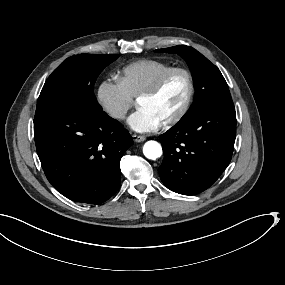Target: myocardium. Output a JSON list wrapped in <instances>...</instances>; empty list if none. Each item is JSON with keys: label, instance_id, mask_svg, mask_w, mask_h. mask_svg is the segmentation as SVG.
I'll return each instance as SVG.
<instances>
[{"label": "myocardium", "instance_id": "myocardium-1", "mask_svg": "<svg viewBox=\"0 0 285 285\" xmlns=\"http://www.w3.org/2000/svg\"><path fill=\"white\" fill-rule=\"evenodd\" d=\"M177 75L182 76L185 80L186 90H185L184 98H183V101L180 107L173 114L167 116L166 118L160 121V124L162 126H168V125H172L178 122L187 113L190 107V103L192 99V92H193V84H192L190 74L183 69H173L167 72L157 81V83L154 86H152L149 90L144 92L138 98V101H137L139 105L143 103L145 100L155 96L172 80V78H174Z\"/></svg>", "mask_w": 285, "mask_h": 285}]
</instances>
